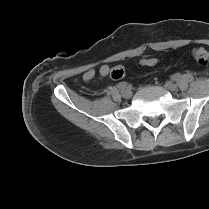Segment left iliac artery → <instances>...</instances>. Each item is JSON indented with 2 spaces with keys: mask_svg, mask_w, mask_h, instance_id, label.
<instances>
[{
  "mask_svg": "<svg viewBox=\"0 0 209 209\" xmlns=\"http://www.w3.org/2000/svg\"><path fill=\"white\" fill-rule=\"evenodd\" d=\"M172 81L173 82H175V83H177V82H179L180 81V79H181V74H174L173 76H172Z\"/></svg>",
  "mask_w": 209,
  "mask_h": 209,
  "instance_id": "1",
  "label": "left iliac artery"
}]
</instances>
